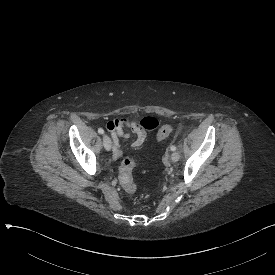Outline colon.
<instances>
[{
	"label": "colon",
	"instance_id": "1",
	"mask_svg": "<svg viewBox=\"0 0 275 275\" xmlns=\"http://www.w3.org/2000/svg\"><path fill=\"white\" fill-rule=\"evenodd\" d=\"M173 132V127L170 125H164L158 130V137L160 139H166ZM134 169H144L145 163L138 162L133 159H128L127 162H123L117 176L118 182L121 187L129 194H133L136 191V184L133 176Z\"/></svg>",
	"mask_w": 275,
	"mask_h": 275
}]
</instances>
